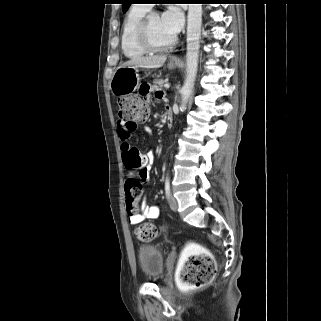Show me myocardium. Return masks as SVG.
I'll list each match as a JSON object with an SVG mask.
<instances>
[{"mask_svg":"<svg viewBox=\"0 0 321 321\" xmlns=\"http://www.w3.org/2000/svg\"><path fill=\"white\" fill-rule=\"evenodd\" d=\"M156 12H148L139 22L136 31V39L138 44L147 52H163L171 49L177 42V37L174 36L170 42L164 45H156L152 42L149 35V20Z\"/></svg>","mask_w":321,"mask_h":321,"instance_id":"1","label":"myocardium"}]
</instances>
